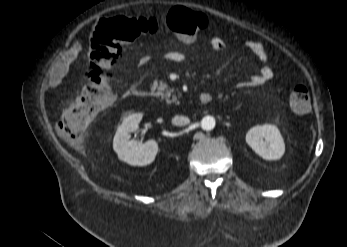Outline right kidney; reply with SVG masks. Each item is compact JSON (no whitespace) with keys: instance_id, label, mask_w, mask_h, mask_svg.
Segmentation results:
<instances>
[{"instance_id":"1","label":"right kidney","mask_w":347,"mask_h":247,"mask_svg":"<svg viewBox=\"0 0 347 247\" xmlns=\"http://www.w3.org/2000/svg\"><path fill=\"white\" fill-rule=\"evenodd\" d=\"M141 119V113L125 118L118 126L113 139V149L118 158L132 166H146L152 163L158 152V145L154 140H149L144 144L130 140V133L137 131Z\"/></svg>"}]
</instances>
